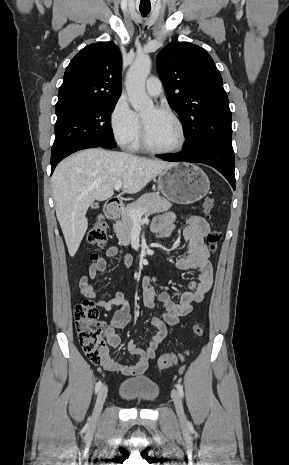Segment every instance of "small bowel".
I'll return each mask as SVG.
<instances>
[{"mask_svg":"<svg viewBox=\"0 0 289 465\" xmlns=\"http://www.w3.org/2000/svg\"><path fill=\"white\" fill-rule=\"evenodd\" d=\"M178 218L186 222L183 235L187 242V249L177 261V268L181 271L194 270L197 278L193 281L189 290L184 292L179 301L172 299L166 287L158 289L159 276L157 274L147 275L142 279V298L146 308H156L159 302L162 306V318L154 317L151 324L155 333L151 336L146 347H140L134 340L128 342L127 346L133 356L138 357L134 363L125 364L114 360L106 348L99 364L108 371H118L127 376L142 374L148 366V362L155 358L157 348L167 336L169 326L177 324L178 319L189 314L195 303L201 302L210 290L213 282L212 266L209 261L210 251L205 241L209 232L207 222L198 215L178 216L173 212H166L157 216L152 223V231L159 238L168 237L176 227ZM106 257L113 258L122 255L124 264L129 267L133 264V257L115 247H109L105 253ZM107 262L104 257L97 258L89 266V277L96 278L97 272H104ZM81 294L88 299H96L97 294L93 285L89 283L87 276L81 278ZM96 304L106 311H111L113 306H120L111 319L110 325L104 326L109 347L117 349L120 344L118 330L125 328L132 320L130 306L124 299L122 292L117 291L112 299H96Z\"/></svg>","mask_w":289,"mask_h":465,"instance_id":"c3829d8e","label":"small bowel"}]
</instances>
